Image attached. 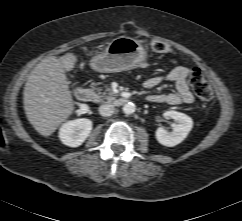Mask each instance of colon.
<instances>
[{"label": "colon", "mask_w": 242, "mask_h": 221, "mask_svg": "<svg viewBox=\"0 0 242 221\" xmlns=\"http://www.w3.org/2000/svg\"><path fill=\"white\" fill-rule=\"evenodd\" d=\"M149 49L156 53H168L171 51L170 46L161 41H152L148 45ZM75 58L71 54H67L62 58V65L64 68H71L74 64ZM189 83L196 94V96L205 102H210L213 97V89L204 78L202 72L198 68H194L189 75Z\"/></svg>", "instance_id": "1"}]
</instances>
